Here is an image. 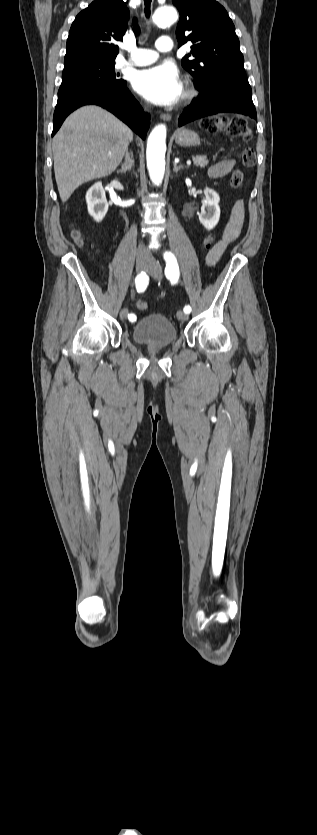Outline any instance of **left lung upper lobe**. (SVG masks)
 Listing matches in <instances>:
<instances>
[{"instance_id": "1", "label": "left lung upper lobe", "mask_w": 317, "mask_h": 835, "mask_svg": "<svg viewBox=\"0 0 317 835\" xmlns=\"http://www.w3.org/2000/svg\"><path fill=\"white\" fill-rule=\"evenodd\" d=\"M172 2L180 13L176 29L179 46L192 42L182 66L194 77L197 88L211 86L220 73L245 72L234 24L222 5L214 0Z\"/></svg>"}]
</instances>
